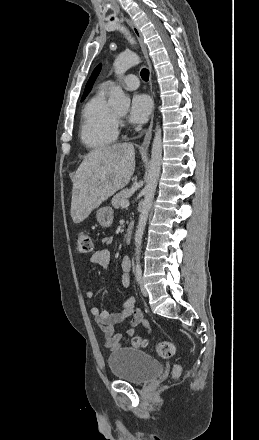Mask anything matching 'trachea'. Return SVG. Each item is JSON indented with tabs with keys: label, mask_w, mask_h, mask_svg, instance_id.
I'll use <instances>...</instances> for the list:
<instances>
[{
	"label": "trachea",
	"mask_w": 259,
	"mask_h": 440,
	"mask_svg": "<svg viewBox=\"0 0 259 440\" xmlns=\"http://www.w3.org/2000/svg\"><path fill=\"white\" fill-rule=\"evenodd\" d=\"M140 75H141V78H142L144 81H148V80H149V70H148V69L143 68V69L141 70Z\"/></svg>",
	"instance_id": "obj_1"
}]
</instances>
